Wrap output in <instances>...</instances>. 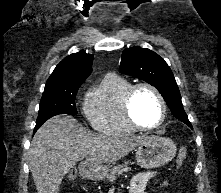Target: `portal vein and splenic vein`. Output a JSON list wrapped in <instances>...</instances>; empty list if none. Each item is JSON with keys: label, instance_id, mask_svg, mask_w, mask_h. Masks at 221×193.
Segmentation results:
<instances>
[{"label": "portal vein and splenic vein", "instance_id": "portal-vein-and-splenic-vein-1", "mask_svg": "<svg viewBox=\"0 0 221 193\" xmlns=\"http://www.w3.org/2000/svg\"><path fill=\"white\" fill-rule=\"evenodd\" d=\"M91 150H92V151H95V149H94V148H92Z\"/></svg>", "mask_w": 221, "mask_h": 193}]
</instances>
